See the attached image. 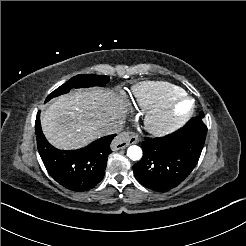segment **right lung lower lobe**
I'll use <instances>...</instances> for the list:
<instances>
[{"mask_svg":"<svg viewBox=\"0 0 246 246\" xmlns=\"http://www.w3.org/2000/svg\"><path fill=\"white\" fill-rule=\"evenodd\" d=\"M37 146L48 173L65 188L83 192L94 188L104 177L110 143L116 136L100 138L79 150L61 151L43 135L39 113L35 122Z\"/></svg>","mask_w":246,"mask_h":246,"instance_id":"right-lung-lower-lobe-1","label":"right lung lower lobe"}]
</instances>
